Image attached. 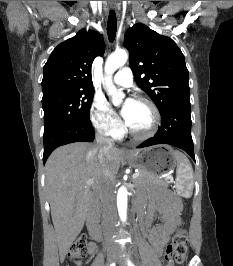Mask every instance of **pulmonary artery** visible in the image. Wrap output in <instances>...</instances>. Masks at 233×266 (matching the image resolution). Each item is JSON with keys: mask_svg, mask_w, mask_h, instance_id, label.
Returning <instances> with one entry per match:
<instances>
[{"mask_svg": "<svg viewBox=\"0 0 233 266\" xmlns=\"http://www.w3.org/2000/svg\"><path fill=\"white\" fill-rule=\"evenodd\" d=\"M113 81L123 87H130L133 83V74L129 67L121 68L113 77Z\"/></svg>", "mask_w": 233, "mask_h": 266, "instance_id": "obj_1", "label": "pulmonary artery"}]
</instances>
